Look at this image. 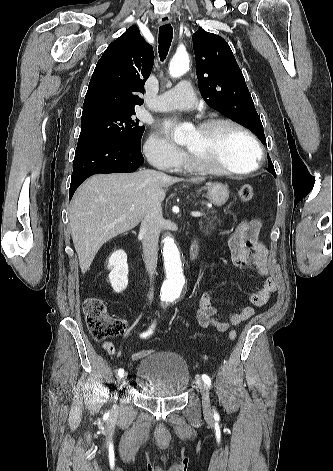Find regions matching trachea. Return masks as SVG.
I'll return each instance as SVG.
<instances>
[{"label": "trachea", "mask_w": 333, "mask_h": 471, "mask_svg": "<svg viewBox=\"0 0 333 471\" xmlns=\"http://www.w3.org/2000/svg\"><path fill=\"white\" fill-rule=\"evenodd\" d=\"M173 37V28L170 24L162 25L159 28V56L163 61L169 51Z\"/></svg>", "instance_id": "obj_1"}]
</instances>
